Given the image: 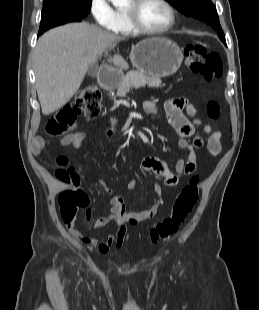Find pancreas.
Segmentation results:
<instances>
[{
    "label": "pancreas",
    "instance_id": "cf45deb5",
    "mask_svg": "<svg viewBox=\"0 0 259 310\" xmlns=\"http://www.w3.org/2000/svg\"><path fill=\"white\" fill-rule=\"evenodd\" d=\"M145 85H148V87H161L162 81L159 77H150L142 72L130 71L119 82L117 95L124 97L131 89H138L140 87H144Z\"/></svg>",
    "mask_w": 259,
    "mask_h": 310
}]
</instances>
